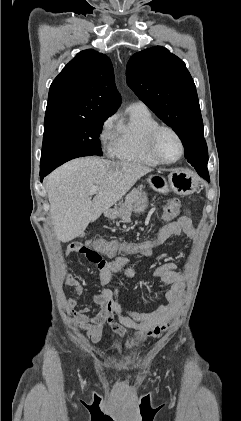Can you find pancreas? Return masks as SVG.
Wrapping results in <instances>:
<instances>
[{"label": "pancreas", "mask_w": 241, "mask_h": 421, "mask_svg": "<svg viewBox=\"0 0 241 421\" xmlns=\"http://www.w3.org/2000/svg\"><path fill=\"white\" fill-rule=\"evenodd\" d=\"M142 188L143 185H140L137 189H133L127 196L125 197V201L120 202L122 208V214L119 216L122 221H129L131 217V212L134 207V203L139 199L142 195Z\"/></svg>", "instance_id": "obj_1"}]
</instances>
